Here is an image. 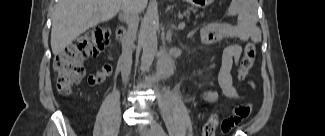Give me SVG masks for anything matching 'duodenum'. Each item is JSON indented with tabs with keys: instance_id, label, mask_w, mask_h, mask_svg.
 Masks as SVG:
<instances>
[{
	"instance_id": "1",
	"label": "duodenum",
	"mask_w": 325,
	"mask_h": 136,
	"mask_svg": "<svg viewBox=\"0 0 325 136\" xmlns=\"http://www.w3.org/2000/svg\"><path fill=\"white\" fill-rule=\"evenodd\" d=\"M117 31H118L119 46L121 49H125L127 47L126 30L124 27L118 26Z\"/></svg>"
}]
</instances>
